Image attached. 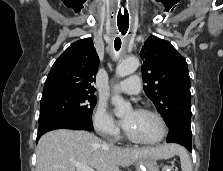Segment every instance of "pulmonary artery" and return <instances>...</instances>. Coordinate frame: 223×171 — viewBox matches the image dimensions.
Masks as SVG:
<instances>
[{
	"label": "pulmonary artery",
	"instance_id": "pulmonary-artery-1",
	"mask_svg": "<svg viewBox=\"0 0 223 171\" xmlns=\"http://www.w3.org/2000/svg\"><path fill=\"white\" fill-rule=\"evenodd\" d=\"M114 89L128 95H136L141 90V81L137 75H132L129 78L119 82Z\"/></svg>",
	"mask_w": 223,
	"mask_h": 171
}]
</instances>
